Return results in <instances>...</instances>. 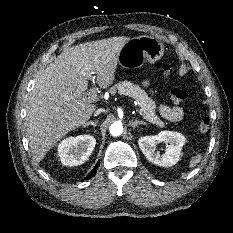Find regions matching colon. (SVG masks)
Masks as SVG:
<instances>
[{
    "instance_id": "1",
    "label": "colon",
    "mask_w": 233,
    "mask_h": 233,
    "mask_svg": "<svg viewBox=\"0 0 233 233\" xmlns=\"http://www.w3.org/2000/svg\"><path fill=\"white\" fill-rule=\"evenodd\" d=\"M162 71L165 76H169L173 71V66L171 64H164ZM187 97V94L178 88H173L168 93L169 100L176 104L186 101ZM197 128L201 134H208L210 132L209 119L206 116L201 117L198 121Z\"/></svg>"
}]
</instances>
